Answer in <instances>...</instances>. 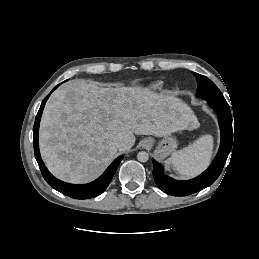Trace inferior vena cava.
I'll use <instances>...</instances> for the list:
<instances>
[{
  "mask_svg": "<svg viewBox=\"0 0 259 259\" xmlns=\"http://www.w3.org/2000/svg\"><path fill=\"white\" fill-rule=\"evenodd\" d=\"M113 143H114V145H115L117 148H121V147H123L124 144H125L124 141H123V139H120V138L114 139Z\"/></svg>",
  "mask_w": 259,
  "mask_h": 259,
  "instance_id": "1",
  "label": "inferior vena cava"
}]
</instances>
